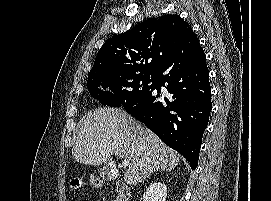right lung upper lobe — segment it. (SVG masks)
Listing matches in <instances>:
<instances>
[{"label": "right lung upper lobe", "mask_w": 271, "mask_h": 201, "mask_svg": "<svg viewBox=\"0 0 271 201\" xmlns=\"http://www.w3.org/2000/svg\"><path fill=\"white\" fill-rule=\"evenodd\" d=\"M189 34L197 39L192 28L179 15L147 19L130 31L108 39L98 51L88 77L155 74Z\"/></svg>", "instance_id": "1"}]
</instances>
